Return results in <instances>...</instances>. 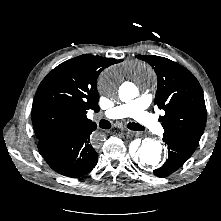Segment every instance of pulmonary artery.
<instances>
[{
  "mask_svg": "<svg viewBox=\"0 0 221 221\" xmlns=\"http://www.w3.org/2000/svg\"><path fill=\"white\" fill-rule=\"evenodd\" d=\"M151 100L152 97L150 95H143L106 110L103 116L107 119L132 117L151 132L159 134L163 131L161 123L151 113L147 112V107Z\"/></svg>",
  "mask_w": 221,
  "mask_h": 221,
  "instance_id": "1",
  "label": "pulmonary artery"
}]
</instances>
